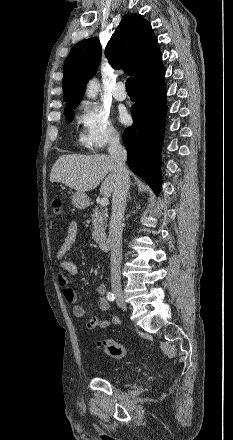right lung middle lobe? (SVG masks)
I'll return each mask as SVG.
<instances>
[{"label": "right lung middle lobe", "instance_id": "right-lung-middle-lobe-1", "mask_svg": "<svg viewBox=\"0 0 233 440\" xmlns=\"http://www.w3.org/2000/svg\"><path fill=\"white\" fill-rule=\"evenodd\" d=\"M77 105L78 104L72 105V106H69V107L64 109L66 120L68 122H71L73 120V118H74V109L77 107Z\"/></svg>", "mask_w": 233, "mask_h": 440}]
</instances>
